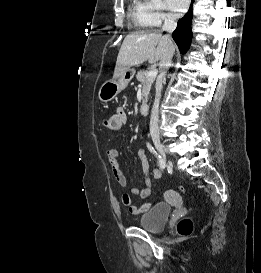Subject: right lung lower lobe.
I'll use <instances>...</instances> for the list:
<instances>
[{"label": "right lung lower lobe", "mask_w": 261, "mask_h": 273, "mask_svg": "<svg viewBox=\"0 0 261 273\" xmlns=\"http://www.w3.org/2000/svg\"><path fill=\"white\" fill-rule=\"evenodd\" d=\"M193 2V0H192ZM192 4L189 11L185 16L178 21L176 30L172 33L173 39L175 40L178 48L182 54L186 53L190 46L192 31H191V20H192Z\"/></svg>", "instance_id": "1"}]
</instances>
